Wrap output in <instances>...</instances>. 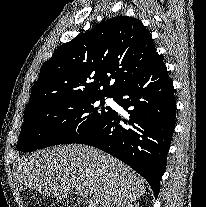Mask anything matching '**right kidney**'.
<instances>
[{
	"label": "right kidney",
	"instance_id": "1",
	"mask_svg": "<svg viewBox=\"0 0 206 207\" xmlns=\"http://www.w3.org/2000/svg\"><path fill=\"white\" fill-rule=\"evenodd\" d=\"M124 207H138V205L135 203V204H127L126 206Z\"/></svg>",
	"mask_w": 206,
	"mask_h": 207
}]
</instances>
